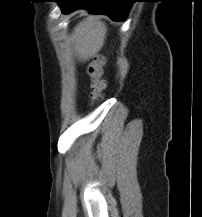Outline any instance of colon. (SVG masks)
<instances>
[{"mask_svg": "<svg viewBox=\"0 0 202 217\" xmlns=\"http://www.w3.org/2000/svg\"><path fill=\"white\" fill-rule=\"evenodd\" d=\"M105 59L102 55L96 56L89 65V75L91 78V99L93 102L99 101L102 97V91L105 87V82L102 78L103 66Z\"/></svg>", "mask_w": 202, "mask_h": 217, "instance_id": "1", "label": "colon"}]
</instances>
